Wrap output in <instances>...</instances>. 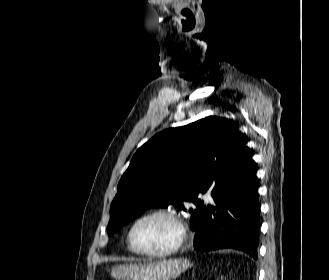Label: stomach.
I'll return each mask as SVG.
<instances>
[{
    "mask_svg": "<svg viewBox=\"0 0 329 280\" xmlns=\"http://www.w3.org/2000/svg\"><path fill=\"white\" fill-rule=\"evenodd\" d=\"M191 263L187 259H168L148 263L116 265L111 275L116 280H172L185 272Z\"/></svg>",
    "mask_w": 329,
    "mask_h": 280,
    "instance_id": "1",
    "label": "stomach"
}]
</instances>
